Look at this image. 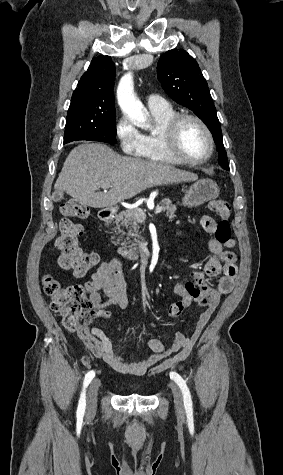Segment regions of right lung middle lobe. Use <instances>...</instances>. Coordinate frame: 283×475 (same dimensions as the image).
<instances>
[{
  "mask_svg": "<svg viewBox=\"0 0 283 475\" xmlns=\"http://www.w3.org/2000/svg\"><path fill=\"white\" fill-rule=\"evenodd\" d=\"M113 104L71 101L65 126L64 144L74 140L116 143Z\"/></svg>",
  "mask_w": 283,
  "mask_h": 475,
  "instance_id": "dd1d6c3e",
  "label": "right lung middle lobe"
}]
</instances>
